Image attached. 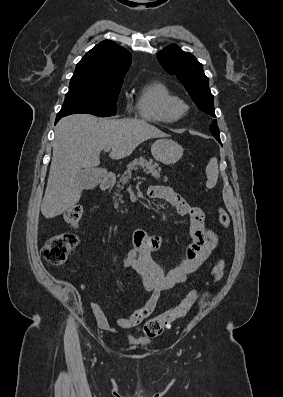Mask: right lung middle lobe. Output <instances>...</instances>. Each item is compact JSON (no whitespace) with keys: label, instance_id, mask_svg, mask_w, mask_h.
<instances>
[{"label":"right lung middle lobe","instance_id":"1","mask_svg":"<svg viewBox=\"0 0 283 397\" xmlns=\"http://www.w3.org/2000/svg\"><path fill=\"white\" fill-rule=\"evenodd\" d=\"M123 79L101 80L73 75L64 104L57 116L88 113L100 117L116 114Z\"/></svg>","mask_w":283,"mask_h":397}]
</instances>
